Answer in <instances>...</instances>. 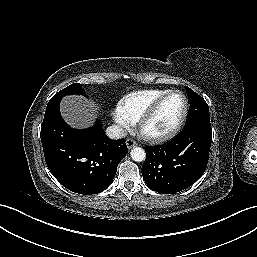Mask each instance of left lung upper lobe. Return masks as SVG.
Here are the masks:
<instances>
[{
	"instance_id": "left-lung-upper-lobe-1",
	"label": "left lung upper lobe",
	"mask_w": 257,
	"mask_h": 257,
	"mask_svg": "<svg viewBox=\"0 0 257 257\" xmlns=\"http://www.w3.org/2000/svg\"><path fill=\"white\" fill-rule=\"evenodd\" d=\"M185 89L187 91L190 106L184 128L193 125L211 127L209 108L205 100L191 88L185 86Z\"/></svg>"
}]
</instances>
